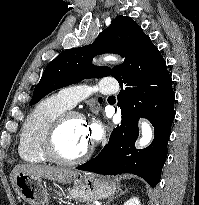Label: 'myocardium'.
<instances>
[{"label": "myocardium", "instance_id": "1", "mask_svg": "<svg viewBox=\"0 0 199 205\" xmlns=\"http://www.w3.org/2000/svg\"><path fill=\"white\" fill-rule=\"evenodd\" d=\"M72 118H77L82 121L85 120L82 113L74 110H65L57 115L44 131L41 140V150L49 161L60 165H74L88 159L92 155L94 149L92 144H90L81 154L72 158L65 157L59 153L57 149V137L59 131L64 124Z\"/></svg>", "mask_w": 199, "mask_h": 205}]
</instances>
